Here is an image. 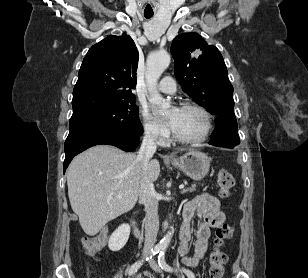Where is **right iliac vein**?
<instances>
[{"label":"right iliac vein","instance_id":"obj_1","mask_svg":"<svg viewBox=\"0 0 308 278\" xmlns=\"http://www.w3.org/2000/svg\"><path fill=\"white\" fill-rule=\"evenodd\" d=\"M146 254H147V253H146V252H144V253H143V256H145Z\"/></svg>","mask_w":308,"mask_h":278}]
</instances>
